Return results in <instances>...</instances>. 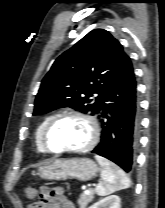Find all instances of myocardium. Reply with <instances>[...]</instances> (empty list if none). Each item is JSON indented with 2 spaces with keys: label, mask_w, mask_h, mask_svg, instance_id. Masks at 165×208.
Returning <instances> with one entry per match:
<instances>
[{
  "label": "myocardium",
  "mask_w": 165,
  "mask_h": 208,
  "mask_svg": "<svg viewBox=\"0 0 165 208\" xmlns=\"http://www.w3.org/2000/svg\"><path fill=\"white\" fill-rule=\"evenodd\" d=\"M65 118H79L87 122V124L90 127L91 131V136L89 141L82 147L79 148H73V149H54L49 146L48 144V134L52 127L58 123L60 120L65 119ZM100 136V130L98 123L96 119L83 112H78V111H64L61 112L57 115H55L45 126L43 132H42V145L44 149L49 152V153H55V154H66V153H83L91 150L98 142Z\"/></svg>",
  "instance_id": "obj_1"
}]
</instances>
